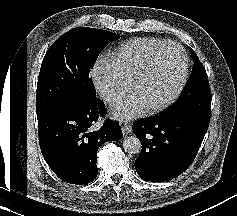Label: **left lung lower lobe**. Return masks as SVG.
I'll return each mask as SVG.
<instances>
[{
  "label": "left lung lower lobe",
  "instance_id": "left-lung-lower-lobe-1",
  "mask_svg": "<svg viewBox=\"0 0 237 216\" xmlns=\"http://www.w3.org/2000/svg\"><path fill=\"white\" fill-rule=\"evenodd\" d=\"M208 125L162 114L136 121L133 132L142 144L135 161L138 175L146 181L164 182L182 174L193 162Z\"/></svg>",
  "mask_w": 237,
  "mask_h": 216
}]
</instances>
